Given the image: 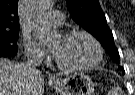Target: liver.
Instances as JSON below:
<instances>
[{
  "label": "liver",
  "instance_id": "6515ba94",
  "mask_svg": "<svg viewBox=\"0 0 135 95\" xmlns=\"http://www.w3.org/2000/svg\"><path fill=\"white\" fill-rule=\"evenodd\" d=\"M44 77L29 73L24 64L0 58V95H43Z\"/></svg>",
  "mask_w": 135,
  "mask_h": 95
}]
</instances>
